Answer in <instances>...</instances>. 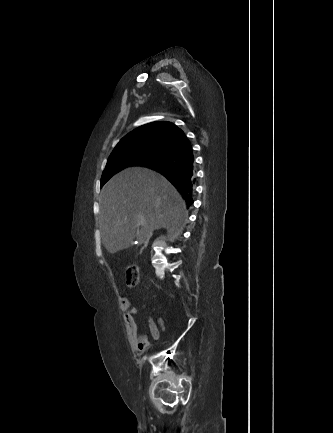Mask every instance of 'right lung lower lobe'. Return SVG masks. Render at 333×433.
<instances>
[{"label":"right lung lower lobe","instance_id":"1","mask_svg":"<svg viewBox=\"0 0 333 433\" xmlns=\"http://www.w3.org/2000/svg\"><path fill=\"white\" fill-rule=\"evenodd\" d=\"M146 166L164 175L183 194L188 207L193 204L195 163L189 141L167 157Z\"/></svg>","mask_w":333,"mask_h":433}]
</instances>
